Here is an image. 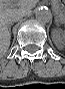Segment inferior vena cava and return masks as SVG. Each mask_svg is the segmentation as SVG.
I'll return each instance as SVG.
<instances>
[{"instance_id": "1", "label": "inferior vena cava", "mask_w": 65, "mask_h": 89, "mask_svg": "<svg viewBox=\"0 0 65 89\" xmlns=\"http://www.w3.org/2000/svg\"><path fill=\"white\" fill-rule=\"evenodd\" d=\"M24 17V14H19L18 16H14L10 21V24L17 22L20 18Z\"/></svg>"}]
</instances>
